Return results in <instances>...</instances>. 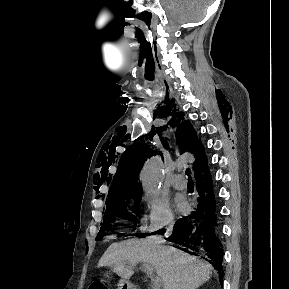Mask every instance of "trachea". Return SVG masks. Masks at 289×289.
<instances>
[{"label": "trachea", "mask_w": 289, "mask_h": 289, "mask_svg": "<svg viewBox=\"0 0 289 289\" xmlns=\"http://www.w3.org/2000/svg\"><path fill=\"white\" fill-rule=\"evenodd\" d=\"M185 174L188 176V180L192 181L191 176H190V174H191L190 169L187 168L185 171Z\"/></svg>", "instance_id": "3493384b"}]
</instances>
